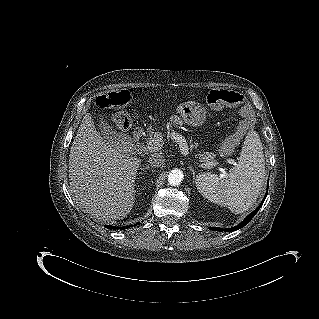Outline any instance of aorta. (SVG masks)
<instances>
[{"instance_id": "obj_1", "label": "aorta", "mask_w": 319, "mask_h": 319, "mask_svg": "<svg viewBox=\"0 0 319 319\" xmlns=\"http://www.w3.org/2000/svg\"><path fill=\"white\" fill-rule=\"evenodd\" d=\"M183 172L179 169H174L168 174V183L172 186L179 185L183 180Z\"/></svg>"}]
</instances>
